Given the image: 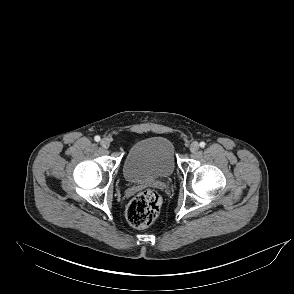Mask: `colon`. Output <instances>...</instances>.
Wrapping results in <instances>:
<instances>
[{"mask_svg":"<svg viewBox=\"0 0 294 294\" xmlns=\"http://www.w3.org/2000/svg\"><path fill=\"white\" fill-rule=\"evenodd\" d=\"M161 209L159 194L151 189L137 194L128 204L126 218L135 228H146L158 217Z\"/></svg>","mask_w":294,"mask_h":294,"instance_id":"1","label":"colon"}]
</instances>
